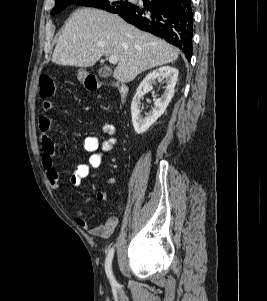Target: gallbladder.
<instances>
[{
  "instance_id": "1",
  "label": "gallbladder",
  "mask_w": 267,
  "mask_h": 301,
  "mask_svg": "<svg viewBox=\"0 0 267 301\" xmlns=\"http://www.w3.org/2000/svg\"><path fill=\"white\" fill-rule=\"evenodd\" d=\"M98 75L101 78H107L111 75V70L105 67H102L98 70Z\"/></svg>"
}]
</instances>
